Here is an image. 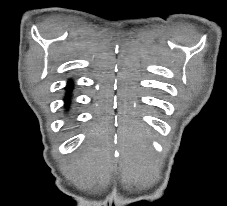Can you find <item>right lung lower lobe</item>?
Listing matches in <instances>:
<instances>
[{"instance_id": "obj_1", "label": "right lung lower lobe", "mask_w": 227, "mask_h": 206, "mask_svg": "<svg viewBox=\"0 0 227 206\" xmlns=\"http://www.w3.org/2000/svg\"><path fill=\"white\" fill-rule=\"evenodd\" d=\"M71 84H72L71 82L68 83V86H67V89L68 90H70L72 88V85Z\"/></svg>"}]
</instances>
